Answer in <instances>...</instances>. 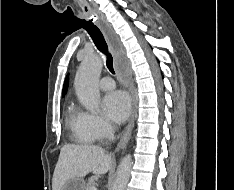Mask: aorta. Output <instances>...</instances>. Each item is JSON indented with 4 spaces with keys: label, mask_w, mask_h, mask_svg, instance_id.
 Masks as SVG:
<instances>
[{
    "label": "aorta",
    "mask_w": 234,
    "mask_h": 190,
    "mask_svg": "<svg viewBox=\"0 0 234 190\" xmlns=\"http://www.w3.org/2000/svg\"><path fill=\"white\" fill-rule=\"evenodd\" d=\"M102 67L103 61L99 55H88L82 61L75 77L78 98L84 107L91 112L97 110L100 103L98 81ZM131 167L132 157L128 154L119 165L112 190H125L130 178Z\"/></svg>",
    "instance_id": "1"
}]
</instances>
